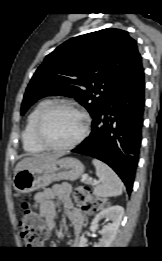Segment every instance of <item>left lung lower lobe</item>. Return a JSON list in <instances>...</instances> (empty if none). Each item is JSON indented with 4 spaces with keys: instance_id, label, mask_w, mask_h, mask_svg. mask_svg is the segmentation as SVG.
<instances>
[{
    "instance_id": "left-lung-lower-lobe-1",
    "label": "left lung lower lobe",
    "mask_w": 162,
    "mask_h": 261,
    "mask_svg": "<svg viewBox=\"0 0 162 261\" xmlns=\"http://www.w3.org/2000/svg\"><path fill=\"white\" fill-rule=\"evenodd\" d=\"M144 69L140 64L110 92L92 116L90 135L72 152L108 164L131 193L139 159L144 112Z\"/></svg>"
}]
</instances>
